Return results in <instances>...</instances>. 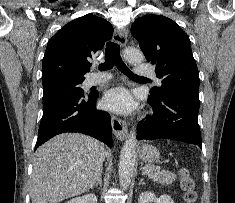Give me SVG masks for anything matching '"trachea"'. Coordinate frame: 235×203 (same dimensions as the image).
<instances>
[{
  "instance_id": "obj_1",
  "label": "trachea",
  "mask_w": 235,
  "mask_h": 203,
  "mask_svg": "<svg viewBox=\"0 0 235 203\" xmlns=\"http://www.w3.org/2000/svg\"><path fill=\"white\" fill-rule=\"evenodd\" d=\"M116 66L122 73L129 77H136L142 78L133 72L125 65L122 61L120 56V46L114 42H108L106 44V51H105V62L104 64L100 65V70H108L111 69L113 66Z\"/></svg>"
}]
</instances>
